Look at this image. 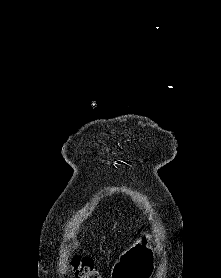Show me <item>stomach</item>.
<instances>
[{"mask_svg":"<svg viewBox=\"0 0 221 278\" xmlns=\"http://www.w3.org/2000/svg\"><path fill=\"white\" fill-rule=\"evenodd\" d=\"M154 252L151 247V235L141 233L137 241L123 257H118L115 264H111L113 278H148L153 275Z\"/></svg>","mask_w":221,"mask_h":278,"instance_id":"0dacf381","label":"stomach"}]
</instances>
